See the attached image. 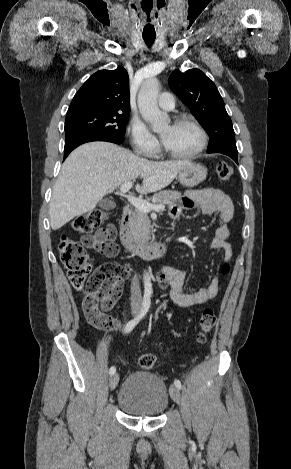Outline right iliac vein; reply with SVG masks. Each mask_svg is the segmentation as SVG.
Instances as JSON below:
<instances>
[{
    "label": "right iliac vein",
    "instance_id": "obj_1",
    "mask_svg": "<svg viewBox=\"0 0 291 469\" xmlns=\"http://www.w3.org/2000/svg\"><path fill=\"white\" fill-rule=\"evenodd\" d=\"M139 308L137 306L132 307L131 313L132 315H136L138 313ZM119 382V375L118 373H114L109 378V387L111 390H114Z\"/></svg>",
    "mask_w": 291,
    "mask_h": 469
}]
</instances>
